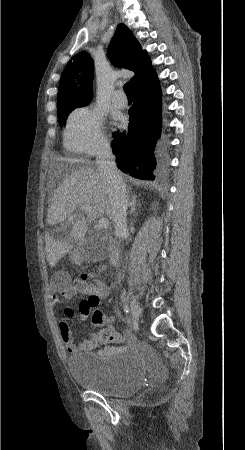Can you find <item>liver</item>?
Wrapping results in <instances>:
<instances>
[{
    "instance_id": "liver-1",
    "label": "liver",
    "mask_w": 245,
    "mask_h": 450,
    "mask_svg": "<svg viewBox=\"0 0 245 450\" xmlns=\"http://www.w3.org/2000/svg\"><path fill=\"white\" fill-rule=\"evenodd\" d=\"M81 206H90L96 217L112 216V206L103 179L92 167H81L70 172L58 185L52 196L47 223L53 226L78 216ZM87 232L86 219L78 216L70 235L65 239L54 238L49 232L45 234V252L49 265L54 267L58 260L72 249L71 240L82 239Z\"/></svg>"
}]
</instances>
